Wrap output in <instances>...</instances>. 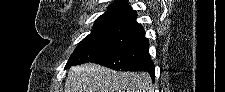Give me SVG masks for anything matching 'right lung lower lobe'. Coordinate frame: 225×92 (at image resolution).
<instances>
[{"mask_svg":"<svg viewBox=\"0 0 225 92\" xmlns=\"http://www.w3.org/2000/svg\"><path fill=\"white\" fill-rule=\"evenodd\" d=\"M102 66L121 71H147L154 81L155 66L149 54V41L144 36L94 60Z\"/></svg>","mask_w":225,"mask_h":92,"instance_id":"right-lung-lower-lobe-1","label":"right lung lower lobe"}]
</instances>
